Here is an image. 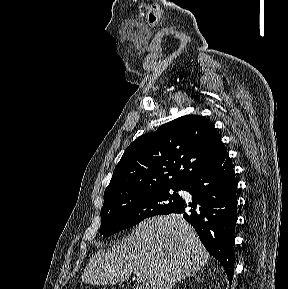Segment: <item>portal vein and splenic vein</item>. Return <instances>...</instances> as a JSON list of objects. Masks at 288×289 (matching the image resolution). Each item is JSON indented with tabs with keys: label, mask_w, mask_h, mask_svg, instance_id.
Instances as JSON below:
<instances>
[{
	"label": "portal vein and splenic vein",
	"mask_w": 288,
	"mask_h": 289,
	"mask_svg": "<svg viewBox=\"0 0 288 289\" xmlns=\"http://www.w3.org/2000/svg\"><path fill=\"white\" fill-rule=\"evenodd\" d=\"M137 280H138V282L140 283L142 280H143V278H142V275L141 274H138L137 275Z\"/></svg>",
	"instance_id": "1"
}]
</instances>
